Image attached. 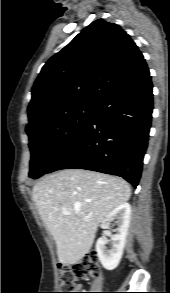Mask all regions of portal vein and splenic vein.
<instances>
[{
	"instance_id": "portal-vein-and-splenic-vein-1",
	"label": "portal vein and splenic vein",
	"mask_w": 170,
	"mask_h": 293,
	"mask_svg": "<svg viewBox=\"0 0 170 293\" xmlns=\"http://www.w3.org/2000/svg\"><path fill=\"white\" fill-rule=\"evenodd\" d=\"M62 213H63L64 215H68V214H69L66 210H63Z\"/></svg>"
}]
</instances>
